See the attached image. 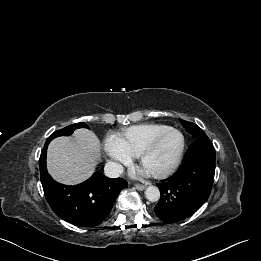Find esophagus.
Here are the masks:
<instances>
[{
    "label": "esophagus",
    "mask_w": 261,
    "mask_h": 261,
    "mask_svg": "<svg viewBox=\"0 0 261 261\" xmlns=\"http://www.w3.org/2000/svg\"><path fill=\"white\" fill-rule=\"evenodd\" d=\"M135 188H136L137 190H139V191H142V190H144V189L146 188V186H145V185H142V184H136V185H135Z\"/></svg>",
    "instance_id": "obj_1"
}]
</instances>
